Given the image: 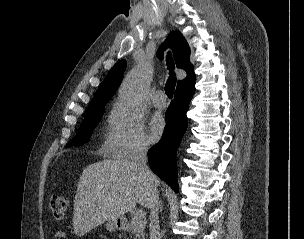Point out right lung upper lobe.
I'll return each instance as SVG.
<instances>
[{
	"label": "right lung upper lobe",
	"mask_w": 304,
	"mask_h": 239,
	"mask_svg": "<svg viewBox=\"0 0 304 239\" xmlns=\"http://www.w3.org/2000/svg\"><path fill=\"white\" fill-rule=\"evenodd\" d=\"M166 47H170L172 49L176 66L185 70L187 73L186 78L178 81L177 84L180 85L190 78H193L195 74L193 72V66L189 60L190 49L183 35L179 31H173L159 49V58L163 57V49ZM125 67V60H120L115 64L99 86L87 109L98 108L103 105L105 106V104L113 97L118 86L120 85Z\"/></svg>",
	"instance_id": "cb5924a9"
}]
</instances>
